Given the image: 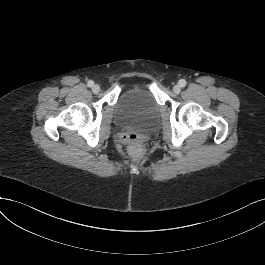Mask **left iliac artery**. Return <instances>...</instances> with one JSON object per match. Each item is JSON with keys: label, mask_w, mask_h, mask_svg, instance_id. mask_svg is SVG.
<instances>
[{"label": "left iliac artery", "mask_w": 265, "mask_h": 265, "mask_svg": "<svg viewBox=\"0 0 265 265\" xmlns=\"http://www.w3.org/2000/svg\"><path fill=\"white\" fill-rule=\"evenodd\" d=\"M186 81L184 80V79H181V80H179V85L181 86V87H185L186 86Z\"/></svg>", "instance_id": "1"}]
</instances>
